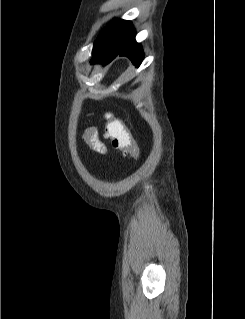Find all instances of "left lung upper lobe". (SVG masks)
<instances>
[{
    "instance_id": "obj_1",
    "label": "left lung upper lobe",
    "mask_w": 245,
    "mask_h": 319,
    "mask_svg": "<svg viewBox=\"0 0 245 319\" xmlns=\"http://www.w3.org/2000/svg\"><path fill=\"white\" fill-rule=\"evenodd\" d=\"M129 23L130 21L121 19L113 21L100 33L93 49L101 51L113 48Z\"/></svg>"
}]
</instances>
